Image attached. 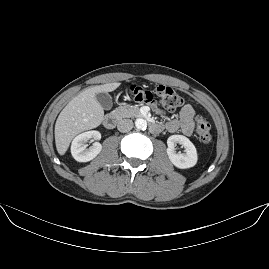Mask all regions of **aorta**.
I'll return each mask as SVG.
<instances>
[{"mask_svg": "<svg viewBox=\"0 0 269 269\" xmlns=\"http://www.w3.org/2000/svg\"><path fill=\"white\" fill-rule=\"evenodd\" d=\"M135 126L138 128V129H144L146 128L147 126V122L145 119H142V118H137L135 120Z\"/></svg>", "mask_w": 269, "mask_h": 269, "instance_id": "obj_1", "label": "aorta"}]
</instances>
